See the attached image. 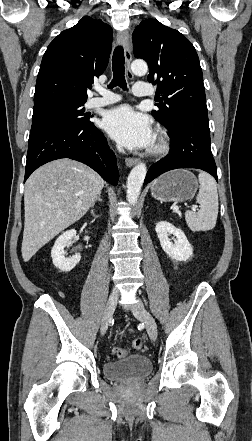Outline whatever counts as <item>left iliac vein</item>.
Here are the masks:
<instances>
[{
  "mask_svg": "<svg viewBox=\"0 0 252 441\" xmlns=\"http://www.w3.org/2000/svg\"><path fill=\"white\" fill-rule=\"evenodd\" d=\"M133 314L136 318L140 319L144 323L149 337L154 341L157 337V325L153 316L140 302L135 305Z\"/></svg>",
  "mask_w": 252,
  "mask_h": 441,
  "instance_id": "left-iliac-vein-1",
  "label": "left iliac vein"
}]
</instances>
